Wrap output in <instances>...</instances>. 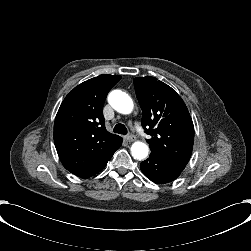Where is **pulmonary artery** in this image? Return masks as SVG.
<instances>
[{
  "instance_id": "e3ab8cb5",
  "label": "pulmonary artery",
  "mask_w": 251,
  "mask_h": 251,
  "mask_svg": "<svg viewBox=\"0 0 251 251\" xmlns=\"http://www.w3.org/2000/svg\"><path fill=\"white\" fill-rule=\"evenodd\" d=\"M133 130L135 133L139 134V136L145 140L148 139L150 136L148 132H146L145 130L142 129L141 126H139V124H136Z\"/></svg>"
}]
</instances>
